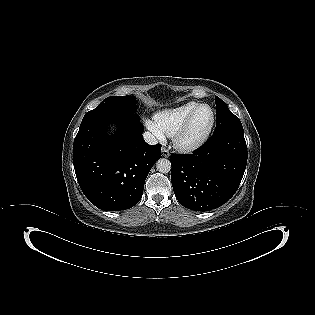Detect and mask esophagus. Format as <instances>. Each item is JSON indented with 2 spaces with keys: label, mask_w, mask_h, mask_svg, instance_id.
<instances>
[{
  "label": "esophagus",
  "mask_w": 315,
  "mask_h": 315,
  "mask_svg": "<svg viewBox=\"0 0 315 315\" xmlns=\"http://www.w3.org/2000/svg\"><path fill=\"white\" fill-rule=\"evenodd\" d=\"M162 155H163L164 157L168 158V157L170 156L169 150L163 148V149H162Z\"/></svg>",
  "instance_id": "34e87169"
}]
</instances>
